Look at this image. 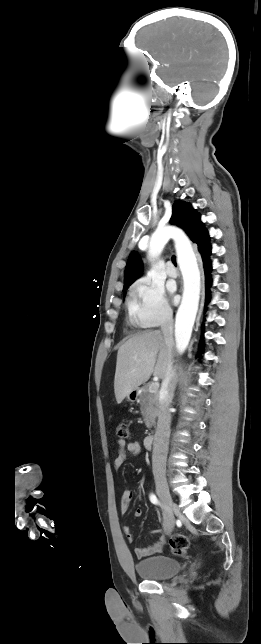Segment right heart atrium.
Listing matches in <instances>:
<instances>
[{
  "mask_svg": "<svg viewBox=\"0 0 261 644\" xmlns=\"http://www.w3.org/2000/svg\"><path fill=\"white\" fill-rule=\"evenodd\" d=\"M131 314L143 327H156L172 319L164 288L149 277L137 280L131 289Z\"/></svg>",
  "mask_w": 261,
  "mask_h": 644,
  "instance_id": "d8ad5b80",
  "label": "right heart atrium"
}]
</instances>
